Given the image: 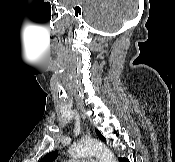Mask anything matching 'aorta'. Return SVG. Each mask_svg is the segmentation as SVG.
I'll return each mask as SVG.
<instances>
[{
	"label": "aorta",
	"instance_id": "1",
	"mask_svg": "<svg viewBox=\"0 0 175 162\" xmlns=\"http://www.w3.org/2000/svg\"><path fill=\"white\" fill-rule=\"evenodd\" d=\"M72 157L95 156L99 162H117L114 153L98 140H81L69 148Z\"/></svg>",
	"mask_w": 175,
	"mask_h": 162
}]
</instances>
